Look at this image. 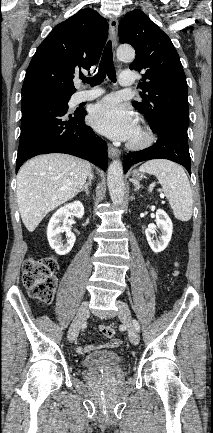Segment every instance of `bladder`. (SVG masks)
Here are the masks:
<instances>
[{"instance_id":"1","label":"bladder","mask_w":213,"mask_h":433,"mask_svg":"<svg viewBox=\"0 0 213 433\" xmlns=\"http://www.w3.org/2000/svg\"><path fill=\"white\" fill-rule=\"evenodd\" d=\"M121 358L115 351H97L86 355L82 360V366L86 370H95L119 364Z\"/></svg>"}]
</instances>
